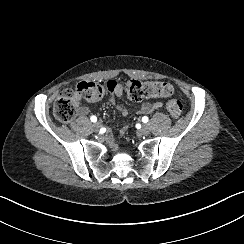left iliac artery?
<instances>
[{"label": "left iliac artery", "instance_id": "left-iliac-artery-1", "mask_svg": "<svg viewBox=\"0 0 244 244\" xmlns=\"http://www.w3.org/2000/svg\"><path fill=\"white\" fill-rule=\"evenodd\" d=\"M148 117L147 116H144L143 118H142V121L144 122V123H147L148 122Z\"/></svg>", "mask_w": 244, "mask_h": 244}]
</instances>
